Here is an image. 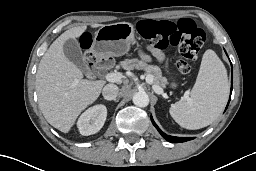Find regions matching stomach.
Returning <instances> with one entry per match:
<instances>
[{
	"label": "stomach",
	"instance_id": "1",
	"mask_svg": "<svg viewBox=\"0 0 256 171\" xmlns=\"http://www.w3.org/2000/svg\"><path fill=\"white\" fill-rule=\"evenodd\" d=\"M134 33V26L128 22L104 25L95 34L92 53L98 59L122 56L136 43ZM170 87L177 88L172 77Z\"/></svg>",
	"mask_w": 256,
	"mask_h": 171
}]
</instances>
